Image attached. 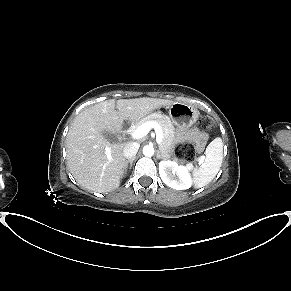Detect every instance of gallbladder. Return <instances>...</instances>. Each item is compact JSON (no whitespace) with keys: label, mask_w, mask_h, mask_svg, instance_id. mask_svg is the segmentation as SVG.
Returning <instances> with one entry per match:
<instances>
[{"label":"gallbladder","mask_w":291,"mask_h":291,"mask_svg":"<svg viewBox=\"0 0 291 291\" xmlns=\"http://www.w3.org/2000/svg\"><path fill=\"white\" fill-rule=\"evenodd\" d=\"M104 137L110 142H117V136L115 134L105 132Z\"/></svg>","instance_id":"1"}]
</instances>
